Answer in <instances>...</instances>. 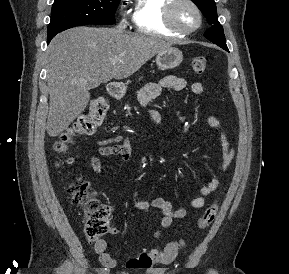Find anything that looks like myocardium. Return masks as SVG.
<instances>
[{
	"label": "myocardium",
	"mask_w": 289,
	"mask_h": 274,
	"mask_svg": "<svg viewBox=\"0 0 289 274\" xmlns=\"http://www.w3.org/2000/svg\"><path fill=\"white\" fill-rule=\"evenodd\" d=\"M180 3H187L190 5L197 15V24L189 29L182 28L175 22L174 11L176 6ZM164 23L171 31L181 36H188L200 29L203 23V14L200 7L195 3L194 0H170L164 10Z\"/></svg>",
	"instance_id": "f54148a6"
}]
</instances>
